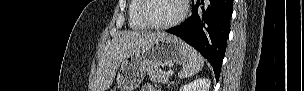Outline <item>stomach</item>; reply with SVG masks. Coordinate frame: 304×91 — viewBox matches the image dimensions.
<instances>
[{"mask_svg":"<svg viewBox=\"0 0 304 91\" xmlns=\"http://www.w3.org/2000/svg\"><path fill=\"white\" fill-rule=\"evenodd\" d=\"M189 59L188 45L176 36L154 38L143 50L127 56L117 74L121 91H134L142 82L147 67L184 64Z\"/></svg>","mask_w":304,"mask_h":91,"instance_id":"obj_1","label":"stomach"}]
</instances>
